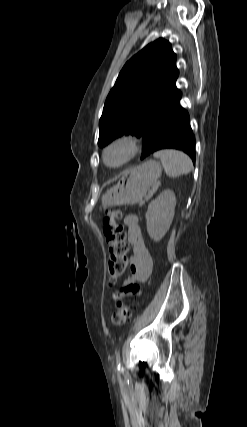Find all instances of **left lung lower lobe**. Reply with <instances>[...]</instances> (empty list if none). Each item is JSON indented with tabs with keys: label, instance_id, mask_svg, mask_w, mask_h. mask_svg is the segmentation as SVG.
<instances>
[{
	"label": "left lung lower lobe",
	"instance_id": "0a47b994",
	"mask_svg": "<svg viewBox=\"0 0 247 427\" xmlns=\"http://www.w3.org/2000/svg\"><path fill=\"white\" fill-rule=\"evenodd\" d=\"M181 96L156 116L143 134L141 159L161 149H178L195 163V138L190 127L189 114L179 104Z\"/></svg>",
	"mask_w": 247,
	"mask_h": 427
}]
</instances>
